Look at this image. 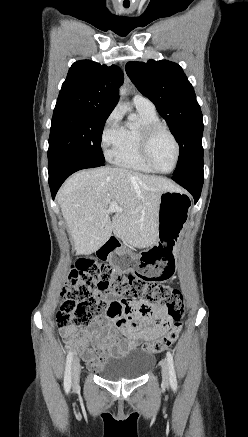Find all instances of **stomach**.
Masks as SVG:
<instances>
[{
  "mask_svg": "<svg viewBox=\"0 0 248 437\" xmlns=\"http://www.w3.org/2000/svg\"><path fill=\"white\" fill-rule=\"evenodd\" d=\"M190 211V199L180 190L161 193L157 216V240L138 256L126 249L114 256V272L135 273L146 286H164L175 271L178 247Z\"/></svg>",
  "mask_w": 248,
  "mask_h": 437,
  "instance_id": "obj_1",
  "label": "stomach"
}]
</instances>
